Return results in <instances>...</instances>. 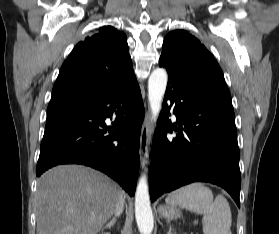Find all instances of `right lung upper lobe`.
Listing matches in <instances>:
<instances>
[{
    "mask_svg": "<svg viewBox=\"0 0 279 234\" xmlns=\"http://www.w3.org/2000/svg\"><path fill=\"white\" fill-rule=\"evenodd\" d=\"M135 77L126 35L104 26L79 42L63 63L48 108L68 107L108 94Z\"/></svg>",
    "mask_w": 279,
    "mask_h": 234,
    "instance_id": "obj_1",
    "label": "right lung upper lobe"
}]
</instances>
